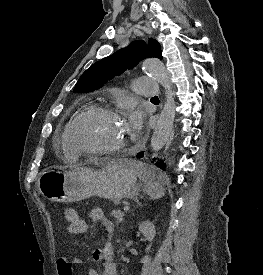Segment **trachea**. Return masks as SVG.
<instances>
[{
	"mask_svg": "<svg viewBox=\"0 0 263 275\" xmlns=\"http://www.w3.org/2000/svg\"><path fill=\"white\" fill-rule=\"evenodd\" d=\"M152 99H158V96H154V97H152Z\"/></svg>",
	"mask_w": 263,
	"mask_h": 275,
	"instance_id": "trachea-1",
	"label": "trachea"
}]
</instances>
